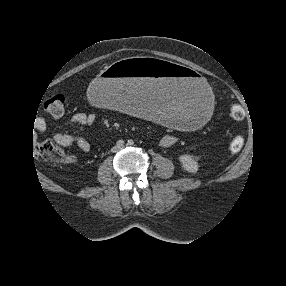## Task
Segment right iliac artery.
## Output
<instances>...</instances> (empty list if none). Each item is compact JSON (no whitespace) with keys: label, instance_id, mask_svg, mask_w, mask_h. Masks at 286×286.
Here are the masks:
<instances>
[{"label":"right iliac artery","instance_id":"82829eb1","mask_svg":"<svg viewBox=\"0 0 286 286\" xmlns=\"http://www.w3.org/2000/svg\"><path fill=\"white\" fill-rule=\"evenodd\" d=\"M116 144H117L118 147L121 148V147L124 146V141L123 140H118Z\"/></svg>","mask_w":286,"mask_h":286}]
</instances>
